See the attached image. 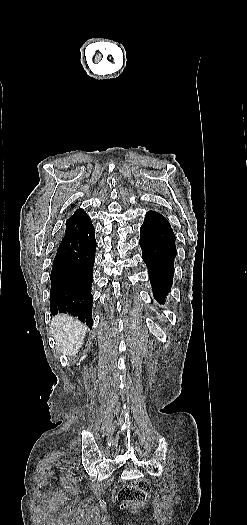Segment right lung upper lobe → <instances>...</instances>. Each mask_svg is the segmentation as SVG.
I'll use <instances>...</instances> for the list:
<instances>
[{
  "label": "right lung upper lobe",
  "instance_id": "right-lung-upper-lobe-1",
  "mask_svg": "<svg viewBox=\"0 0 247 525\" xmlns=\"http://www.w3.org/2000/svg\"><path fill=\"white\" fill-rule=\"evenodd\" d=\"M92 224L90 217L83 209H77L66 222V232L63 238L77 233Z\"/></svg>",
  "mask_w": 247,
  "mask_h": 525
}]
</instances>
